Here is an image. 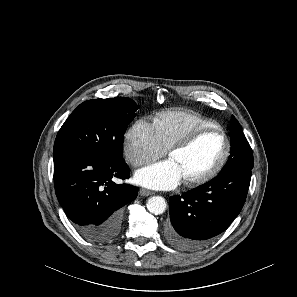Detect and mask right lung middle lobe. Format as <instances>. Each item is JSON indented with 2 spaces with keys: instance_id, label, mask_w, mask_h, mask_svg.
Masks as SVG:
<instances>
[{
  "instance_id": "obj_1",
  "label": "right lung middle lobe",
  "mask_w": 297,
  "mask_h": 297,
  "mask_svg": "<svg viewBox=\"0 0 297 297\" xmlns=\"http://www.w3.org/2000/svg\"><path fill=\"white\" fill-rule=\"evenodd\" d=\"M137 109L125 97L83 102L60 128L54 153L82 151L123 162V136Z\"/></svg>"
}]
</instances>
